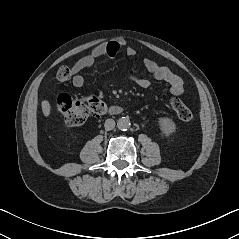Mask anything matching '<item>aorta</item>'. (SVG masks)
<instances>
[{
    "instance_id": "762f6f07",
    "label": "aorta",
    "mask_w": 239,
    "mask_h": 239,
    "mask_svg": "<svg viewBox=\"0 0 239 239\" xmlns=\"http://www.w3.org/2000/svg\"><path fill=\"white\" fill-rule=\"evenodd\" d=\"M117 127L119 130L126 131L131 127V122L128 117H121L117 121Z\"/></svg>"
}]
</instances>
